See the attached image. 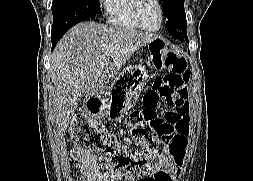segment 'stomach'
Instances as JSON below:
<instances>
[{
    "label": "stomach",
    "instance_id": "stomach-1",
    "mask_svg": "<svg viewBox=\"0 0 253 181\" xmlns=\"http://www.w3.org/2000/svg\"><path fill=\"white\" fill-rule=\"evenodd\" d=\"M141 66L126 67L109 85L97 89L84 98L86 113L93 118L107 117L112 121H120L132 106V98L143 87L146 74Z\"/></svg>",
    "mask_w": 253,
    "mask_h": 181
}]
</instances>
